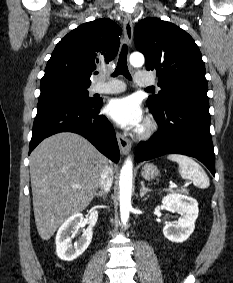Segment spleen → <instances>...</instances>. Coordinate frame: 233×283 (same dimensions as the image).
Masks as SVG:
<instances>
[{
    "instance_id": "spleen-1",
    "label": "spleen",
    "mask_w": 233,
    "mask_h": 283,
    "mask_svg": "<svg viewBox=\"0 0 233 283\" xmlns=\"http://www.w3.org/2000/svg\"><path fill=\"white\" fill-rule=\"evenodd\" d=\"M167 158L178 163V170L183 179L191 180L196 187L202 189L209 187L210 181L207 174L192 158L181 154H170Z\"/></svg>"
}]
</instances>
